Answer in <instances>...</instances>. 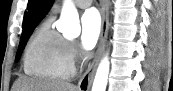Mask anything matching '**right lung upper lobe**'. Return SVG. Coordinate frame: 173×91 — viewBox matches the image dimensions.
Here are the masks:
<instances>
[{"label": "right lung upper lobe", "mask_w": 173, "mask_h": 91, "mask_svg": "<svg viewBox=\"0 0 173 91\" xmlns=\"http://www.w3.org/2000/svg\"><path fill=\"white\" fill-rule=\"evenodd\" d=\"M54 0H35L24 23L23 34L33 31L36 25L48 12Z\"/></svg>", "instance_id": "1"}]
</instances>
